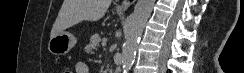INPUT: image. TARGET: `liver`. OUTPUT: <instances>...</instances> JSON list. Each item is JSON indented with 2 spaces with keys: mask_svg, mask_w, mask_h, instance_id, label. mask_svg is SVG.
Listing matches in <instances>:
<instances>
[{
  "mask_svg": "<svg viewBox=\"0 0 244 73\" xmlns=\"http://www.w3.org/2000/svg\"><path fill=\"white\" fill-rule=\"evenodd\" d=\"M110 4L111 0H64L50 38L82 21H98Z\"/></svg>",
  "mask_w": 244,
  "mask_h": 73,
  "instance_id": "liver-1",
  "label": "liver"
}]
</instances>
